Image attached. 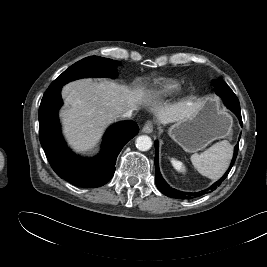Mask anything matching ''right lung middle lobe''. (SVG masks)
<instances>
[{"label":"right lung middle lobe","instance_id":"1","mask_svg":"<svg viewBox=\"0 0 267 267\" xmlns=\"http://www.w3.org/2000/svg\"><path fill=\"white\" fill-rule=\"evenodd\" d=\"M118 62L98 57L91 56L84 58L71 67H69L66 71H64L46 90L44 95H48L52 93L57 88L62 87L64 84L69 81L86 78V77H116V67Z\"/></svg>","mask_w":267,"mask_h":267}]
</instances>
